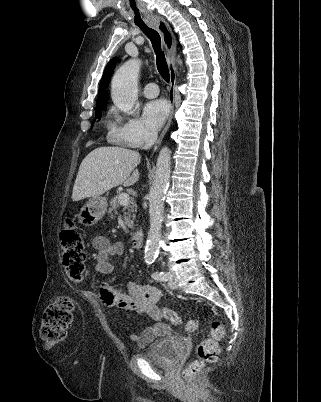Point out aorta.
<instances>
[{"mask_svg":"<svg viewBox=\"0 0 321 402\" xmlns=\"http://www.w3.org/2000/svg\"><path fill=\"white\" fill-rule=\"evenodd\" d=\"M141 60L130 59L114 74L111 85V97L117 108L131 113L138 96V75ZM171 151L163 147L156 163V177L149 193L150 228L145 247V263L150 265L158 255L162 235L164 198L169 186Z\"/></svg>","mask_w":321,"mask_h":402,"instance_id":"762f6f07","label":"aorta"}]
</instances>
